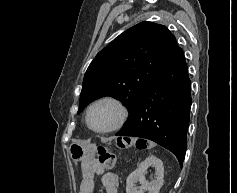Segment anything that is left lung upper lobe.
Returning a JSON list of instances; mask_svg holds the SVG:
<instances>
[{
  "mask_svg": "<svg viewBox=\"0 0 237 193\" xmlns=\"http://www.w3.org/2000/svg\"><path fill=\"white\" fill-rule=\"evenodd\" d=\"M179 49L163 25L141 22L100 51L89 65L80 94V113L90 102L113 96L129 108L126 126L154 79Z\"/></svg>",
  "mask_w": 237,
  "mask_h": 193,
  "instance_id": "obj_1",
  "label": "left lung upper lobe"
}]
</instances>
